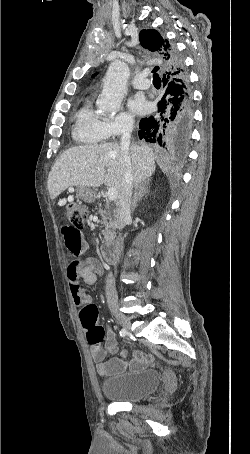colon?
<instances>
[{"label":"colon","instance_id":"1","mask_svg":"<svg viewBox=\"0 0 250 454\" xmlns=\"http://www.w3.org/2000/svg\"><path fill=\"white\" fill-rule=\"evenodd\" d=\"M66 215L70 226L75 230L83 228L87 217L88 208L80 203H69L66 206ZM81 325L86 333L87 341L93 346H99L106 335L104 328L99 324L100 313L93 303L84 305L79 311Z\"/></svg>","mask_w":250,"mask_h":454}]
</instances>
